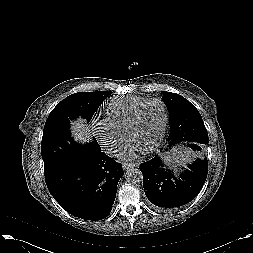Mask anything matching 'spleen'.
I'll return each instance as SVG.
<instances>
[{"instance_id":"obj_1","label":"spleen","mask_w":253,"mask_h":253,"mask_svg":"<svg viewBox=\"0 0 253 253\" xmlns=\"http://www.w3.org/2000/svg\"><path fill=\"white\" fill-rule=\"evenodd\" d=\"M163 167L168 176L176 180H188L197 175L201 158L196 149L188 145H176L167 150Z\"/></svg>"}]
</instances>
